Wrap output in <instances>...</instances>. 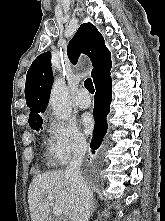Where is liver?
<instances>
[{
	"label": "liver",
	"instance_id": "6515ba94",
	"mask_svg": "<svg viewBox=\"0 0 165 221\" xmlns=\"http://www.w3.org/2000/svg\"><path fill=\"white\" fill-rule=\"evenodd\" d=\"M63 209L65 217L71 219L74 190L63 170L46 172L35 176L28 189V204L32 221H47L50 214V200Z\"/></svg>",
	"mask_w": 165,
	"mask_h": 221
}]
</instances>
